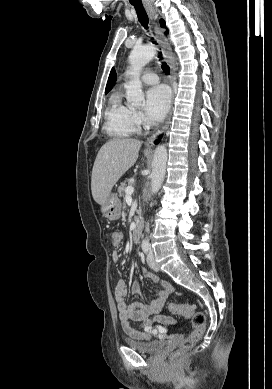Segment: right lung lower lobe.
<instances>
[{"label": "right lung lower lobe", "instance_id": "right-lung-lower-lobe-1", "mask_svg": "<svg viewBox=\"0 0 272 389\" xmlns=\"http://www.w3.org/2000/svg\"><path fill=\"white\" fill-rule=\"evenodd\" d=\"M160 141V139L156 140L155 143H158Z\"/></svg>", "mask_w": 272, "mask_h": 389}]
</instances>
